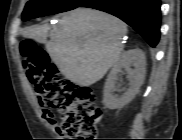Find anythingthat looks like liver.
<instances>
[{
  "mask_svg": "<svg viewBox=\"0 0 182 140\" xmlns=\"http://www.w3.org/2000/svg\"><path fill=\"white\" fill-rule=\"evenodd\" d=\"M49 25L28 27L25 38L44 43L59 71L79 86L99 81L121 58L127 25L102 11L77 8L62 16L47 40Z\"/></svg>",
  "mask_w": 182,
  "mask_h": 140,
  "instance_id": "6515ba94",
  "label": "liver"
}]
</instances>
